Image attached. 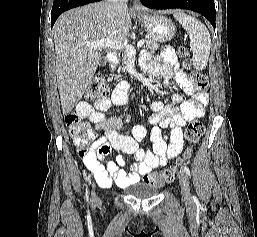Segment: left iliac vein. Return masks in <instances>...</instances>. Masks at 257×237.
I'll use <instances>...</instances> for the list:
<instances>
[{"label": "left iliac vein", "mask_w": 257, "mask_h": 237, "mask_svg": "<svg viewBox=\"0 0 257 237\" xmlns=\"http://www.w3.org/2000/svg\"><path fill=\"white\" fill-rule=\"evenodd\" d=\"M179 182L181 187V194L184 201H189L191 199L190 189H189V179L185 172L181 171L179 173Z\"/></svg>", "instance_id": "left-iliac-vein-1"}]
</instances>
